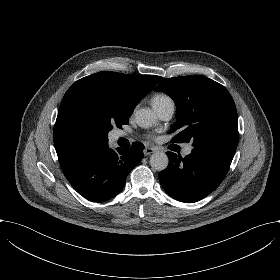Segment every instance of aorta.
Listing matches in <instances>:
<instances>
[{
	"mask_svg": "<svg viewBox=\"0 0 280 280\" xmlns=\"http://www.w3.org/2000/svg\"><path fill=\"white\" fill-rule=\"evenodd\" d=\"M135 122L139 127L150 128L157 123L153 110L141 108L134 113ZM169 163L168 156L164 152H156L150 157V165L156 171H162L167 168Z\"/></svg>",
	"mask_w": 280,
	"mask_h": 280,
	"instance_id": "aorta-1",
	"label": "aorta"
}]
</instances>
